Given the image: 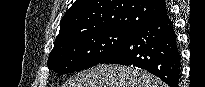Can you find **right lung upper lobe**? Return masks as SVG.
Returning <instances> with one entry per match:
<instances>
[{"label":"right lung upper lobe","instance_id":"cb5924a9","mask_svg":"<svg viewBox=\"0 0 205 87\" xmlns=\"http://www.w3.org/2000/svg\"><path fill=\"white\" fill-rule=\"evenodd\" d=\"M165 12L164 0H76L61 20L56 42L101 29L134 31Z\"/></svg>","mask_w":205,"mask_h":87}]
</instances>
